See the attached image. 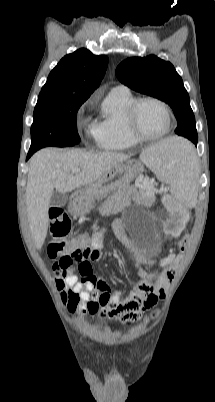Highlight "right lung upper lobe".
<instances>
[{"label": "right lung upper lobe", "mask_w": 215, "mask_h": 402, "mask_svg": "<svg viewBox=\"0 0 215 402\" xmlns=\"http://www.w3.org/2000/svg\"><path fill=\"white\" fill-rule=\"evenodd\" d=\"M108 58L79 49L63 57L50 72L39 96L88 98L99 86Z\"/></svg>", "instance_id": "obj_1"}]
</instances>
